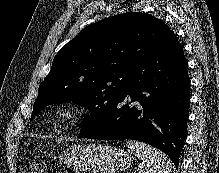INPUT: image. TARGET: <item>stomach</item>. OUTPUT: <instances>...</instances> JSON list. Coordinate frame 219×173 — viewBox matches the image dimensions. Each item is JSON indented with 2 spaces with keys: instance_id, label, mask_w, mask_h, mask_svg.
<instances>
[{
  "instance_id": "obj_1",
  "label": "stomach",
  "mask_w": 219,
  "mask_h": 173,
  "mask_svg": "<svg viewBox=\"0 0 219 173\" xmlns=\"http://www.w3.org/2000/svg\"><path fill=\"white\" fill-rule=\"evenodd\" d=\"M60 160L76 173H120L130 167L132 158L122 148L89 144L67 148Z\"/></svg>"
}]
</instances>
